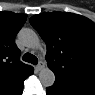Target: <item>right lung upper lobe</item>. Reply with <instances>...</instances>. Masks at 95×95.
Instances as JSON below:
<instances>
[{
    "label": "right lung upper lobe",
    "mask_w": 95,
    "mask_h": 95,
    "mask_svg": "<svg viewBox=\"0 0 95 95\" xmlns=\"http://www.w3.org/2000/svg\"><path fill=\"white\" fill-rule=\"evenodd\" d=\"M26 19L25 14L0 12V95H17L24 80L34 72L19 60L20 51L15 44V36Z\"/></svg>",
    "instance_id": "cb5924a9"
}]
</instances>
